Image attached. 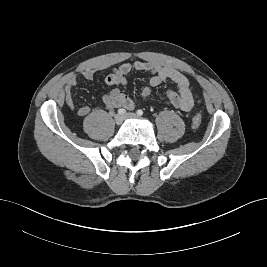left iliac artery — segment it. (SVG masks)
Masks as SVG:
<instances>
[{
  "label": "left iliac artery",
  "instance_id": "44dca946",
  "mask_svg": "<svg viewBox=\"0 0 267 267\" xmlns=\"http://www.w3.org/2000/svg\"><path fill=\"white\" fill-rule=\"evenodd\" d=\"M137 115L138 116H142L143 115V111L141 109L137 110Z\"/></svg>",
  "mask_w": 267,
  "mask_h": 267
}]
</instances>
